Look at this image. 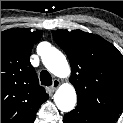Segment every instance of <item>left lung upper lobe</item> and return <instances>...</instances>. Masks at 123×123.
I'll return each mask as SVG.
<instances>
[{
	"mask_svg": "<svg viewBox=\"0 0 123 123\" xmlns=\"http://www.w3.org/2000/svg\"><path fill=\"white\" fill-rule=\"evenodd\" d=\"M67 54L79 104L118 116L123 109V56L98 35L81 30L52 31Z\"/></svg>",
	"mask_w": 123,
	"mask_h": 123,
	"instance_id": "left-lung-upper-lobe-1",
	"label": "left lung upper lobe"
}]
</instances>
